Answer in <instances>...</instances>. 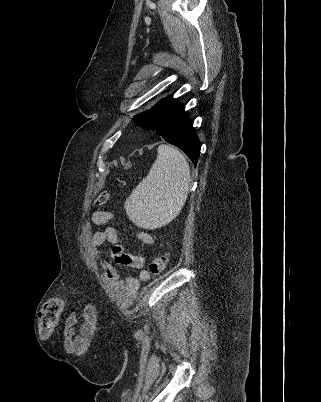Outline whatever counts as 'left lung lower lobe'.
Listing matches in <instances>:
<instances>
[{"mask_svg": "<svg viewBox=\"0 0 321 402\" xmlns=\"http://www.w3.org/2000/svg\"><path fill=\"white\" fill-rule=\"evenodd\" d=\"M155 132L168 143L179 147L197 164L201 143L193 128V121L184 106L171 96L164 99L159 108Z\"/></svg>", "mask_w": 321, "mask_h": 402, "instance_id": "left-lung-lower-lobe-1", "label": "left lung lower lobe"}]
</instances>
